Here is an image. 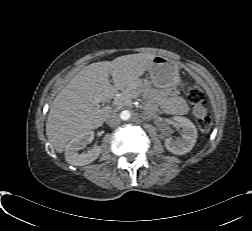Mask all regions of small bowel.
<instances>
[{"instance_id":"obj_1","label":"small bowel","mask_w":252,"mask_h":231,"mask_svg":"<svg viewBox=\"0 0 252 231\" xmlns=\"http://www.w3.org/2000/svg\"><path fill=\"white\" fill-rule=\"evenodd\" d=\"M165 108L167 111L175 113V114H184L188 111L187 106L185 105L182 99H176L173 102H168L165 104ZM193 114L196 118L201 119L206 116L207 110L206 108L199 106L193 110Z\"/></svg>"}]
</instances>
